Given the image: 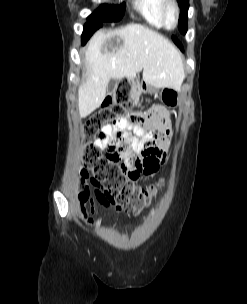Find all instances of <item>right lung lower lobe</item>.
<instances>
[{
    "instance_id": "obj_1",
    "label": "right lung lower lobe",
    "mask_w": 247,
    "mask_h": 304,
    "mask_svg": "<svg viewBox=\"0 0 247 304\" xmlns=\"http://www.w3.org/2000/svg\"><path fill=\"white\" fill-rule=\"evenodd\" d=\"M101 25H102V23H101ZM86 41H87V40L82 39V43H83V44H85V43H86Z\"/></svg>"
}]
</instances>
